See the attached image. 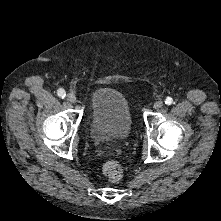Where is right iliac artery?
I'll return each instance as SVG.
<instances>
[{
	"instance_id": "1",
	"label": "right iliac artery",
	"mask_w": 221,
	"mask_h": 221,
	"mask_svg": "<svg viewBox=\"0 0 221 221\" xmlns=\"http://www.w3.org/2000/svg\"><path fill=\"white\" fill-rule=\"evenodd\" d=\"M57 95L63 99L66 96V92L63 89H58Z\"/></svg>"
}]
</instances>
